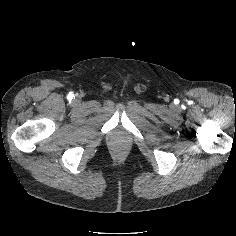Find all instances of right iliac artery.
<instances>
[{
	"mask_svg": "<svg viewBox=\"0 0 236 236\" xmlns=\"http://www.w3.org/2000/svg\"><path fill=\"white\" fill-rule=\"evenodd\" d=\"M69 98L72 99V98H73V94H70V95H69Z\"/></svg>",
	"mask_w": 236,
	"mask_h": 236,
	"instance_id": "obj_1",
	"label": "right iliac artery"
}]
</instances>
